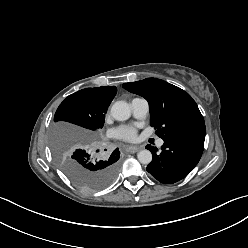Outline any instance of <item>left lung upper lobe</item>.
<instances>
[{"label":"left lung upper lobe","instance_id":"1","mask_svg":"<svg viewBox=\"0 0 248 248\" xmlns=\"http://www.w3.org/2000/svg\"><path fill=\"white\" fill-rule=\"evenodd\" d=\"M123 88L149 102L151 126L164 141L183 130L205 125L195 101L177 86L157 78H147L125 83Z\"/></svg>","mask_w":248,"mask_h":248}]
</instances>
